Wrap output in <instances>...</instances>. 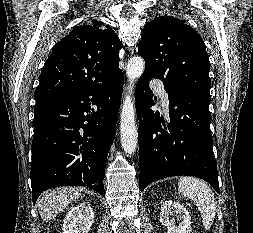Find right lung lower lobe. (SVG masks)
Here are the masks:
<instances>
[{"label":"right lung lower lobe","instance_id":"98d812e1","mask_svg":"<svg viewBox=\"0 0 253 233\" xmlns=\"http://www.w3.org/2000/svg\"><path fill=\"white\" fill-rule=\"evenodd\" d=\"M124 75L82 90L36 99L32 140L33 204L46 189L88 186L105 195L103 179L115 126Z\"/></svg>","mask_w":253,"mask_h":233}]
</instances>
